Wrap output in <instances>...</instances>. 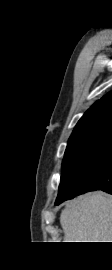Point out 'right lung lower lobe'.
I'll return each mask as SVG.
<instances>
[{
	"instance_id": "obj_1",
	"label": "right lung lower lobe",
	"mask_w": 112,
	"mask_h": 270,
	"mask_svg": "<svg viewBox=\"0 0 112 270\" xmlns=\"http://www.w3.org/2000/svg\"><path fill=\"white\" fill-rule=\"evenodd\" d=\"M83 193L102 190L112 194V144L102 159L82 177Z\"/></svg>"
}]
</instances>
